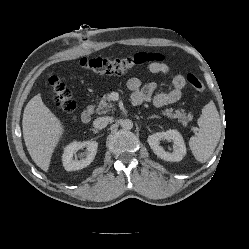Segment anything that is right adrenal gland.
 I'll return each mask as SVG.
<instances>
[{
    "label": "right adrenal gland",
    "mask_w": 249,
    "mask_h": 249,
    "mask_svg": "<svg viewBox=\"0 0 249 249\" xmlns=\"http://www.w3.org/2000/svg\"><path fill=\"white\" fill-rule=\"evenodd\" d=\"M92 131H93L94 133H97V132H98V130H95V129H93Z\"/></svg>",
    "instance_id": "right-adrenal-gland-1"
}]
</instances>
